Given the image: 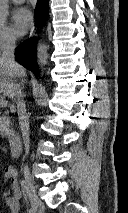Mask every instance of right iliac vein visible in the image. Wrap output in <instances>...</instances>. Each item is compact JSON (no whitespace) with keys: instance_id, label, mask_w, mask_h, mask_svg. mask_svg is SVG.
Segmentation results:
<instances>
[{"instance_id":"63e3f726","label":"right iliac vein","mask_w":128,"mask_h":213,"mask_svg":"<svg viewBox=\"0 0 128 213\" xmlns=\"http://www.w3.org/2000/svg\"><path fill=\"white\" fill-rule=\"evenodd\" d=\"M23 174H24V179H25L28 195H29L31 201L34 204L39 205L40 200L36 194V186H35L34 179L30 173V170L28 168H24Z\"/></svg>"}]
</instances>
